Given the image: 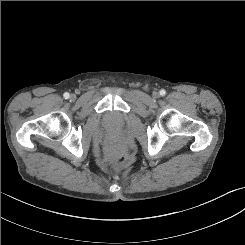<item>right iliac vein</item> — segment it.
<instances>
[{
    "label": "right iliac vein",
    "mask_w": 245,
    "mask_h": 245,
    "mask_svg": "<svg viewBox=\"0 0 245 245\" xmlns=\"http://www.w3.org/2000/svg\"><path fill=\"white\" fill-rule=\"evenodd\" d=\"M75 98V95H71V99H74Z\"/></svg>",
    "instance_id": "obj_1"
}]
</instances>
